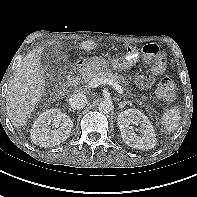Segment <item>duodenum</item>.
I'll use <instances>...</instances> for the list:
<instances>
[{
  "instance_id": "obj_1",
  "label": "duodenum",
  "mask_w": 197,
  "mask_h": 197,
  "mask_svg": "<svg viewBox=\"0 0 197 197\" xmlns=\"http://www.w3.org/2000/svg\"><path fill=\"white\" fill-rule=\"evenodd\" d=\"M82 72H83V68L81 66H76L69 75L68 86H73L77 84Z\"/></svg>"
}]
</instances>
